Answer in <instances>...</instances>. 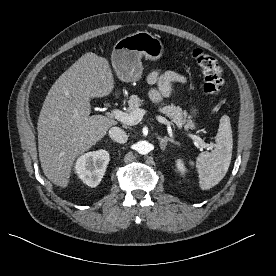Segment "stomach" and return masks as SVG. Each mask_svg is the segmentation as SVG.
Segmentation results:
<instances>
[{
    "label": "stomach",
    "mask_w": 276,
    "mask_h": 276,
    "mask_svg": "<svg viewBox=\"0 0 276 276\" xmlns=\"http://www.w3.org/2000/svg\"><path fill=\"white\" fill-rule=\"evenodd\" d=\"M164 54V45L159 38L147 31H137L118 40L113 47L111 63L117 77L123 82L137 81L143 71L141 59L159 60ZM197 114V110H192Z\"/></svg>",
    "instance_id": "0dacf381"
}]
</instances>
